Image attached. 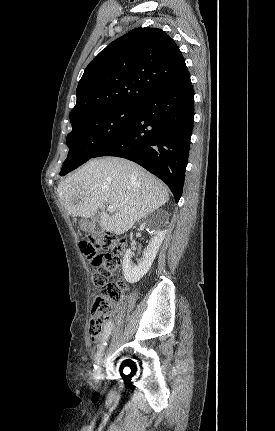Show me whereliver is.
<instances>
[{
    "instance_id": "1",
    "label": "liver",
    "mask_w": 275,
    "mask_h": 431,
    "mask_svg": "<svg viewBox=\"0 0 275 431\" xmlns=\"http://www.w3.org/2000/svg\"><path fill=\"white\" fill-rule=\"evenodd\" d=\"M58 196L72 217L87 219L101 209L100 226L117 235L127 232L169 199L167 187L158 178L118 157L90 160L60 182ZM105 204L115 208L112 215L104 211Z\"/></svg>"
}]
</instances>
